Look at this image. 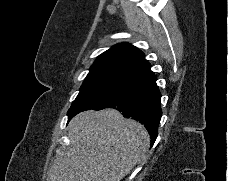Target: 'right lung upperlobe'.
Segmentation results:
<instances>
[{"mask_svg":"<svg viewBox=\"0 0 228 181\" xmlns=\"http://www.w3.org/2000/svg\"><path fill=\"white\" fill-rule=\"evenodd\" d=\"M148 71L150 64L145 60L144 53L122 43L98 56L87 77H116L131 81Z\"/></svg>","mask_w":228,"mask_h":181,"instance_id":"right-lung-upper-lobe-1","label":"right lung upper lobe"}]
</instances>
